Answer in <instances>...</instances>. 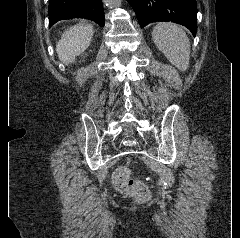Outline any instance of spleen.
I'll list each match as a JSON object with an SVG mask.
<instances>
[{"label":"spleen","instance_id":"1","mask_svg":"<svg viewBox=\"0 0 240 238\" xmlns=\"http://www.w3.org/2000/svg\"><path fill=\"white\" fill-rule=\"evenodd\" d=\"M155 45L179 70L186 71L190 60V42L184 30L172 23H158L152 32Z\"/></svg>","mask_w":240,"mask_h":238}]
</instances>
